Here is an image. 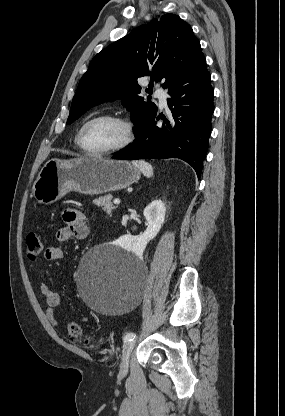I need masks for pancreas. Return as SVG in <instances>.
Returning a JSON list of instances; mask_svg holds the SVG:
<instances>
[{"mask_svg":"<svg viewBox=\"0 0 285 416\" xmlns=\"http://www.w3.org/2000/svg\"><path fill=\"white\" fill-rule=\"evenodd\" d=\"M112 198L113 196H111V194H107V196H101V198L94 200V204H96V206H101L107 214H112V210H116L117 208V206H113V204H111Z\"/></svg>","mask_w":285,"mask_h":416,"instance_id":"cf45deb5","label":"pancreas"}]
</instances>
